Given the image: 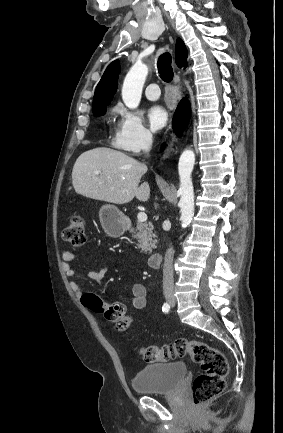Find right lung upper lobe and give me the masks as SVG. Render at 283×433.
<instances>
[{
	"instance_id": "cb5924a9",
	"label": "right lung upper lobe",
	"mask_w": 283,
	"mask_h": 433,
	"mask_svg": "<svg viewBox=\"0 0 283 433\" xmlns=\"http://www.w3.org/2000/svg\"><path fill=\"white\" fill-rule=\"evenodd\" d=\"M187 56L186 46L184 42L178 38L175 48V57L178 67L181 68L186 65ZM119 68L120 63L118 60H115L105 70L94 94L93 111L109 105L117 89Z\"/></svg>"
}]
</instances>
